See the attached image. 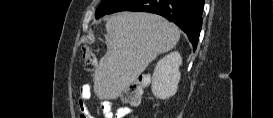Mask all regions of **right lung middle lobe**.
I'll return each instance as SVG.
<instances>
[{
	"instance_id": "1",
	"label": "right lung middle lobe",
	"mask_w": 273,
	"mask_h": 118,
	"mask_svg": "<svg viewBox=\"0 0 273 118\" xmlns=\"http://www.w3.org/2000/svg\"><path fill=\"white\" fill-rule=\"evenodd\" d=\"M124 0H102L98 9L96 10V18H100L111 12L120 5Z\"/></svg>"
}]
</instances>
